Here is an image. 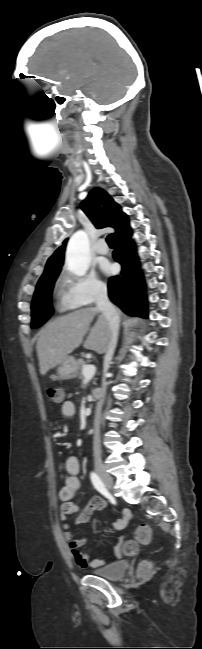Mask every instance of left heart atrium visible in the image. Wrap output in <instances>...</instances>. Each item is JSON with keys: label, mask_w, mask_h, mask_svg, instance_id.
<instances>
[{"label": "left heart atrium", "mask_w": 202, "mask_h": 649, "mask_svg": "<svg viewBox=\"0 0 202 649\" xmlns=\"http://www.w3.org/2000/svg\"><path fill=\"white\" fill-rule=\"evenodd\" d=\"M105 269H106L107 271H109V270H110V267H109V266H106Z\"/></svg>", "instance_id": "obj_1"}]
</instances>
